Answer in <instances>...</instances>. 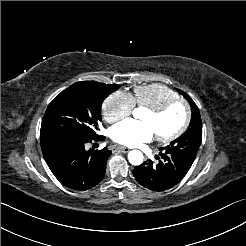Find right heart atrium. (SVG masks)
<instances>
[{
	"label": "right heart atrium",
	"mask_w": 246,
	"mask_h": 246,
	"mask_svg": "<svg viewBox=\"0 0 246 246\" xmlns=\"http://www.w3.org/2000/svg\"><path fill=\"white\" fill-rule=\"evenodd\" d=\"M134 108L132 95L123 90L109 94L102 104V114L109 123H115L131 115Z\"/></svg>",
	"instance_id": "d8ad5b80"
}]
</instances>
